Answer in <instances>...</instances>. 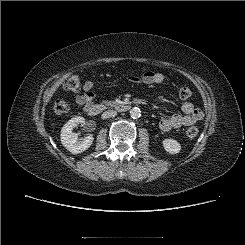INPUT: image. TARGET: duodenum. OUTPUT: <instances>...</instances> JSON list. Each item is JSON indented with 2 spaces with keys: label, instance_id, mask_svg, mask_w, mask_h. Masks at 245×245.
Returning <instances> with one entry per match:
<instances>
[{
  "label": "duodenum",
  "instance_id": "410a0bca",
  "mask_svg": "<svg viewBox=\"0 0 245 245\" xmlns=\"http://www.w3.org/2000/svg\"><path fill=\"white\" fill-rule=\"evenodd\" d=\"M131 109L130 104H119L116 106V110L120 113H125ZM103 108L99 104H90L87 106L86 111L89 116H97L102 112Z\"/></svg>",
  "mask_w": 245,
  "mask_h": 245
}]
</instances>
